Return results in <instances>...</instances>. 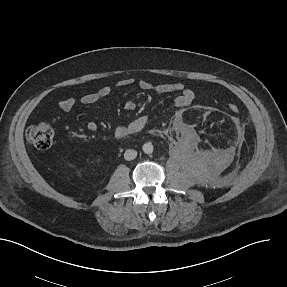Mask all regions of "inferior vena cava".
<instances>
[{
    "label": "inferior vena cava",
    "instance_id": "1",
    "mask_svg": "<svg viewBox=\"0 0 287 287\" xmlns=\"http://www.w3.org/2000/svg\"><path fill=\"white\" fill-rule=\"evenodd\" d=\"M136 156H137V151L133 149H127L124 153V158L125 160H128V161L135 159Z\"/></svg>",
    "mask_w": 287,
    "mask_h": 287
}]
</instances>
